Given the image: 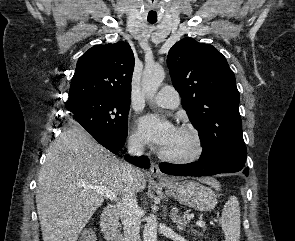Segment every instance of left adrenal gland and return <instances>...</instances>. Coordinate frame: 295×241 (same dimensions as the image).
Returning <instances> with one entry per match:
<instances>
[{
	"label": "left adrenal gland",
	"mask_w": 295,
	"mask_h": 241,
	"mask_svg": "<svg viewBox=\"0 0 295 241\" xmlns=\"http://www.w3.org/2000/svg\"><path fill=\"white\" fill-rule=\"evenodd\" d=\"M178 208L174 207L170 213V218L172 220L173 223L176 224L177 229L179 231H182L185 229V227L187 226V220L184 217H181L180 215H178Z\"/></svg>",
	"instance_id": "obj_1"
}]
</instances>
